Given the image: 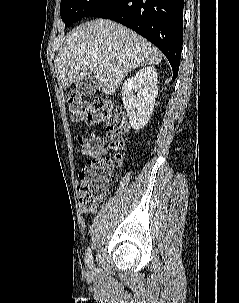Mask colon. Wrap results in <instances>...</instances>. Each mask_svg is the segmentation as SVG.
<instances>
[{
	"instance_id": "5ec220e1",
	"label": "colon",
	"mask_w": 239,
	"mask_h": 303,
	"mask_svg": "<svg viewBox=\"0 0 239 303\" xmlns=\"http://www.w3.org/2000/svg\"><path fill=\"white\" fill-rule=\"evenodd\" d=\"M67 103L73 120L88 124H104L111 148L116 152L112 156L95 158L84 166L79 174V200L85 206H97L104 202L114 183V170L122 161L125 136L129 130L126 116L121 109L102 98L89 97L71 91Z\"/></svg>"
}]
</instances>
